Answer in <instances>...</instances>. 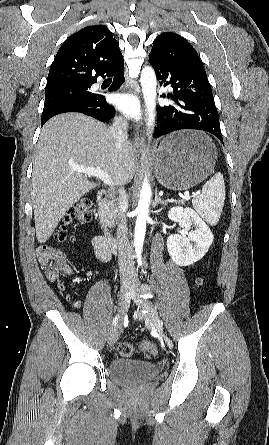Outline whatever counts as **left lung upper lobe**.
<instances>
[{
  "instance_id": "1",
  "label": "left lung upper lobe",
  "mask_w": 269,
  "mask_h": 445,
  "mask_svg": "<svg viewBox=\"0 0 269 445\" xmlns=\"http://www.w3.org/2000/svg\"><path fill=\"white\" fill-rule=\"evenodd\" d=\"M149 58L170 65H202L196 50L180 35L161 33L153 42Z\"/></svg>"
}]
</instances>
